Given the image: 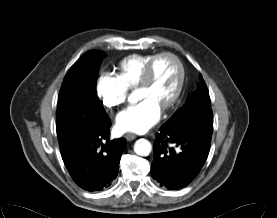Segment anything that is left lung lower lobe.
<instances>
[{"label":"left lung lower lobe","mask_w":277,"mask_h":218,"mask_svg":"<svg viewBox=\"0 0 277 218\" xmlns=\"http://www.w3.org/2000/svg\"><path fill=\"white\" fill-rule=\"evenodd\" d=\"M212 132V123L162 125L153 145L152 177L170 190L187 186L207 159Z\"/></svg>","instance_id":"1"}]
</instances>
